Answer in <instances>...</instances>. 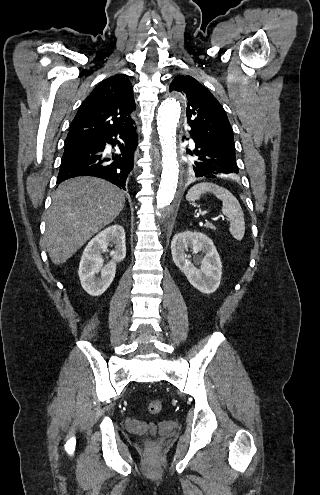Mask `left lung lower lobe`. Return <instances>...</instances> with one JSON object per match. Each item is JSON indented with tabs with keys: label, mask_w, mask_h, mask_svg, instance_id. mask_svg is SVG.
<instances>
[{
	"label": "left lung lower lobe",
	"mask_w": 320,
	"mask_h": 495,
	"mask_svg": "<svg viewBox=\"0 0 320 495\" xmlns=\"http://www.w3.org/2000/svg\"><path fill=\"white\" fill-rule=\"evenodd\" d=\"M195 143L194 153L197 156L192 166V174L196 177L214 178L220 175L235 176L238 166L235 155L226 153L215 146L205 143L190 132Z\"/></svg>",
	"instance_id": "0a47b994"
}]
</instances>
